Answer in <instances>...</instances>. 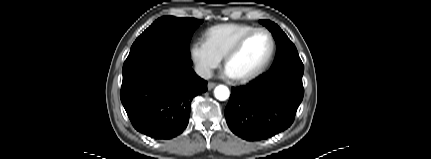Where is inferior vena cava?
Listing matches in <instances>:
<instances>
[{"instance_id":"1","label":"inferior vena cava","mask_w":431,"mask_h":159,"mask_svg":"<svg viewBox=\"0 0 431 159\" xmlns=\"http://www.w3.org/2000/svg\"><path fill=\"white\" fill-rule=\"evenodd\" d=\"M195 72L201 78L210 79L213 75L212 70L206 66L197 65L195 66Z\"/></svg>"}]
</instances>
